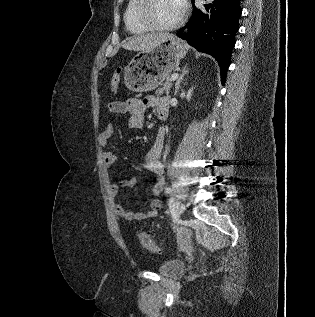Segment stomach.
<instances>
[{"mask_svg": "<svg viewBox=\"0 0 315 317\" xmlns=\"http://www.w3.org/2000/svg\"><path fill=\"white\" fill-rule=\"evenodd\" d=\"M186 55L183 42L164 37L149 51H140L125 68L124 83L133 92L151 91L161 85Z\"/></svg>", "mask_w": 315, "mask_h": 317, "instance_id": "obj_1", "label": "stomach"}]
</instances>
